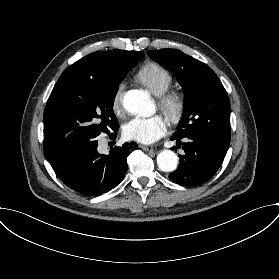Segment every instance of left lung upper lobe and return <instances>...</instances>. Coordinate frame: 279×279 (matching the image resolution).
<instances>
[{
	"label": "left lung upper lobe",
	"mask_w": 279,
	"mask_h": 279,
	"mask_svg": "<svg viewBox=\"0 0 279 279\" xmlns=\"http://www.w3.org/2000/svg\"><path fill=\"white\" fill-rule=\"evenodd\" d=\"M170 70L183 88L184 113L174 135L197 132L231 136L230 101L215 72L205 63L177 49L148 51Z\"/></svg>",
	"instance_id": "1"
}]
</instances>
